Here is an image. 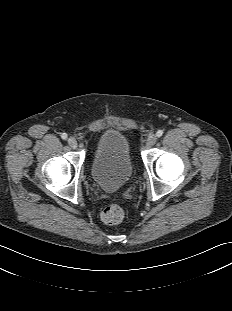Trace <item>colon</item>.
I'll return each instance as SVG.
<instances>
[{"instance_id":"colon-1","label":"colon","mask_w":232,"mask_h":311,"mask_svg":"<svg viewBox=\"0 0 232 311\" xmlns=\"http://www.w3.org/2000/svg\"><path fill=\"white\" fill-rule=\"evenodd\" d=\"M124 218V210L116 204L109 205L101 213V219L109 225L119 224Z\"/></svg>"}]
</instances>
